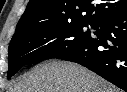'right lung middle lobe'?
<instances>
[{
  "label": "right lung middle lobe",
  "mask_w": 127,
  "mask_h": 92,
  "mask_svg": "<svg viewBox=\"0 0 127 92\" xmlns=\"http://www.w3.org/2000/svg\"><path fill=\"white\" fill-rule=\"evenodd\" d=\"M87 26V23H72L36 27L11 39L7 78L28 63L55 58L84 42L91 36L89 30L85 31ZM90 26L93 27L92 24Z\"/></svg>",
  "instance_id": "right-lung-middle-lobe-1"
}]
</instances>
